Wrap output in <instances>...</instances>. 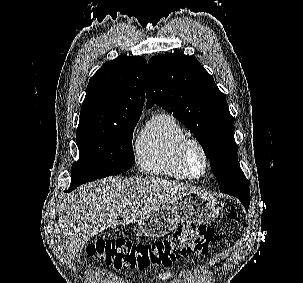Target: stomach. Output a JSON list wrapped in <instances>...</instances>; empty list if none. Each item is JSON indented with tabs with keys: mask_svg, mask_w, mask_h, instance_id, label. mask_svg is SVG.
<instances>
[{
	"mask_svg": "<svg viewBox=\"0 0 303 283\" xmlns=\"http://www.w3.org/2000/svg\"><path fill=\"white\" fill-rule=\"evenodd\" d=\"M221 206L217 198L203 192H192L170 201L160 210L139 222L140 234L156 239L174 230L180 222L208 224L214 221Z\"/></svg>",
	"mask_w": 303,
	"mask_h": 283,
	"instance_id": "stomach-1",
	"label": "stomach"
}]
</instances>
